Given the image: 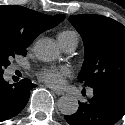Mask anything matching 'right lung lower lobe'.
<instances>
[{
    "label": "right lung lower lobe",
    "instance_id": "obj_1",
    "mask_svg": "<svg viewBox=\"0 0 125 125\" xmlns=\"http://www.w3.org/2000/svg\"><path fill=\"white\" fill-rule=\"evenodd\" d=\"M36 87L29 79L9 84L0 75V122L17 115L26 106L30 91Z\"/></svg>",
    "mask_w": 125,
    "mask_h": 125
}]
</instances>
